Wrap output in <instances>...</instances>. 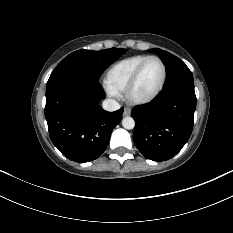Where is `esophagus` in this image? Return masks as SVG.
I'll use <instances>...</instances> for the list:
<instances>
[{
    "instance_id": "1",
    "label": "esophagus",
    "mask_w": 233,
    "mask_h": 233,
    "mask_svg": "<svg viewBox=\"0 0 233 233\" xmlns=\"http://www.w3.org/2000/svg\"><path fill=\"white\" fill-rule=\"evenodd\" d=\"M130 114H131L130 108L125 107L124 112H123V116H129Z\"/></svg>"
}]
</instances>
